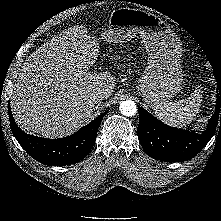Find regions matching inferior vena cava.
<instances>
[{"label": "inferior vena cava", "mask_w": 221, "mask_h": 221, "mask_svg": "<svg viewBox=\"0 0 221 221\" xmlns=\"http://www.w3.org/2000/svg\"><path fill=\"white\" fill-rule=\"evenodd\" d=\"M105 98H107V94L102 90L95 91L91 94V100L95 103H98Z\"/></svg>", "instance_id": "inferior-vena-cava-1"}]
</instances>
